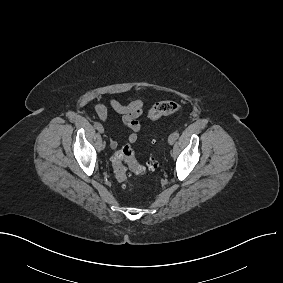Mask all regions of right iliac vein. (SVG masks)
I'll return each mask as SVG.
<instances>
[{"label":"right iliac vein","mask_w":283,"mask_h":283,"mask_svg":"<svg viewBox=\"0 0 283 283\" xmlns=\"http://www.w3.org/2000/svg\"><path fill=\"white\" fill-rule=\"evenodd\" d=\"M98 131H99V133H104V128H103L102 125L98 128Z\"/></svg>","instance_id":"63e3f726"}]
</instances>
